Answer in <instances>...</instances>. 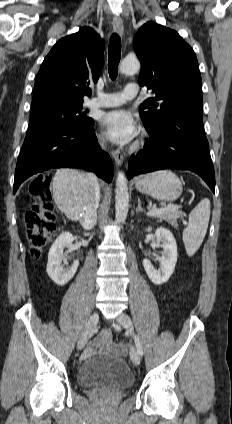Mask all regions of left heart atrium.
I'll list each match as a JSON object with an SVG mask.
<instances>
[{
  "label": "left heart atrium",
  "instance_id": "left-heart-atrium-1",
  "mask_svg": "<svg viewBox=\"0 0 232 424\" xmlns=\"http://www.w3.org/2000/svg\"><path fill=\"white\" fill-rule=\"evenodd\" d=\"M102 125L109 138L118 144L129 143L138 133L132 115L123 110L104 114L102 117Z\"/></svg>",
  "mask_w": 232,
  "mask_h": 424
}]
</instances>
